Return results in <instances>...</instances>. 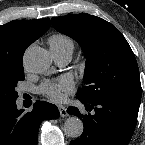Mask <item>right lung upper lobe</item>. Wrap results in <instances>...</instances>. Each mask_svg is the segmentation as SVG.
<instances>
[{"label": "right lung upper lobe", "mask_w": 145, "mask_h": 145, "mask_svg": "<svg viewBox=\"0 0 145 145\" xmlns=\"http://www.w3.org/2000/svg\"><path fill=\"white\" fill-rule=\"evenodd\" d=\"M50 19L14 20L0 25V79L23 68L26 48L50 27Z\"/></svg>", "instance_id": "right-lung-upper-lobe-1"}]
</instances>
